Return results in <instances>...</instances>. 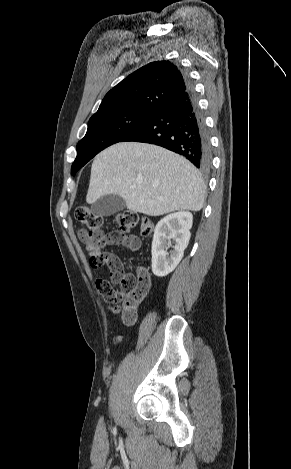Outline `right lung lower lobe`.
<instances>
[{
	"label": "right lung lower lobe",
	"instance_id": "1",
	"mask_svg": "<svg viewBox=\"0 0 291 469\" xmlns=\"http://www.w3.org/2000/svg\"><path fill=\"white\" fill-rule=\"evenodd\" d=\"M163 102L135 131L121 141L159 145L176 152L201 170L211 164L208 132L192 86Z\"/></svg>",
	"mask_w": 291,
	"mask_h": 469
}]
</instances>
